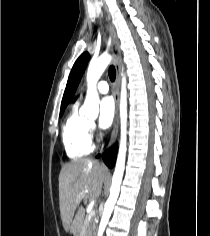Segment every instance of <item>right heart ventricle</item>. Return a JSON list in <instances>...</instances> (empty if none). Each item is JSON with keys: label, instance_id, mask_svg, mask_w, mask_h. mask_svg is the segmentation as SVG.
<instances>
[{"label": "right heart ventricle", "instance_id": "obj_1", "mask_svg": "<svg viewBox=\"0 0 210 236\" xmlns=\"http://www.w3.org/2000/svg\"><path fill=\"white\" fill-rule=\"evenodd\" d=\"M89 121L79 112V101L74 103L62 126V143L70 159H78L90 154L92 142Z\"/></svg>", "mask_w": 210, "mask_h": 236}]
</instances>
